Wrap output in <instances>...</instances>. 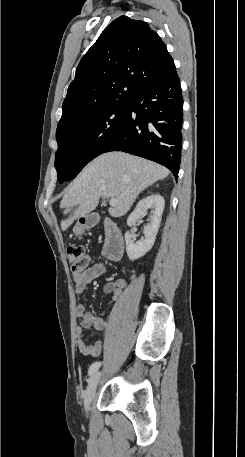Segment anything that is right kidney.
Wrapping results in <instances>:
<instances>
[{"mask_svg": "<svg viewBox=\"0 0 245 457\" xmlns=\"http://www.w3.org/2000/svg\"><path fill=\"white\" fill-rule=\"evenodd\" d=\"M165 200L161 194H150V196H146V198H142L139 200L136 208H134L133 212L129 214L127 218L128 226H136V222L143 218L144 214L150 212L149 222L144 226V239L142 241H137V243H133L131 241V235L129 231L125 233V243H126V253L130 259V261H135V259H140V257H144L150 249H152L156 235L159 231V224L161 222V216L164 210ZM150 208V210H149Z\"/></svg>", "mask_w": 245, "mask_h": 457, "instance_id": "right-kidney-1", "label": "right kidney"}]
</instances>
